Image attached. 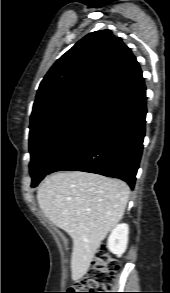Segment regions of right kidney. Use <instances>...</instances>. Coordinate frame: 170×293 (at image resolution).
Instances as JSON below:
<instances>
[{"mask_svg": "<svg viewBox=\"0 0 170 293\" xmlns=\"http://www.w3.org/2000/svg\"><path fill=\"white\" fill-rule=\"evenodd\" d=\"M129 227L127 224H118L111 232L107 247L113 254L121 257L128 244Z\"/></svg>", "mask_w": 170, "mask_h": 293, "instance_id": "right-kidney-1", "label": "right kidney"}]
</instances>
